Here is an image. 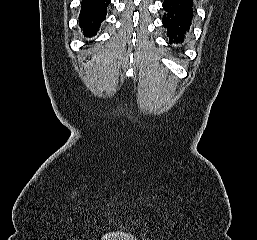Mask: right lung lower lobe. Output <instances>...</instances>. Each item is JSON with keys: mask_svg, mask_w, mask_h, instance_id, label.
Returning <instances> with one entry per match:
<instances>
[{"mask_svg": "<svg viewBox=\"0 0 257 240\" xmlns=\"http://www.w3.org/2000/svg\"><path fill=\"white\" fill-rule=\"evenodd\" d=\"M111 0H82L79 14V25L84 35L94 36L100 24L105 20L107 7Z\"/></svg>", "mask_w": 257, "mask_h": 240, "instance_id": "98d812e1", "label": "right lung lower lobe"}]
</instances>
